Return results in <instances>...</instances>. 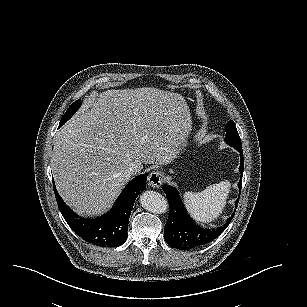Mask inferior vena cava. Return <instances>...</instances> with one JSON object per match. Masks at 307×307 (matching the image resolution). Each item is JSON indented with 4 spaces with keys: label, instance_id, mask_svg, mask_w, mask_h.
<instances>
[{
    "label": "inferior vena cava",
    "instance_id": "602c4592",
    "mask_svg": "<svg viewBox=\"0 0 307 307\" xmlns=\"http://www.w3.org/2000/svg\"><path fill=\"white\" fill-rule=\"evenodd\" d=\"M138 173H139V170L135 167H130L126 170V176L128 178H130L131 176L136 175Z\"/></svg>",
    "mask_w": 307,
    "mask_h": 307
}]
</instances>
